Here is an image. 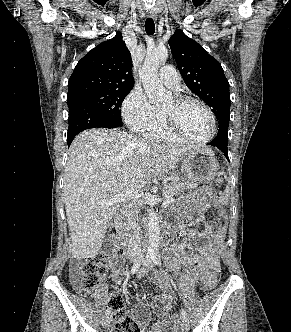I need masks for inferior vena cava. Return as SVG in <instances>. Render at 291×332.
I'll return each instance as SVG.
<instances>
[{
	"mask_svg": "<svg viewBox=\"0 0 291 332\" xmlns=\"http://www.w3.org/2000/svg\"><path fill=\"white\" fill-rule=\"evenodd\" d=\"M128 224L130 229L128 236V253H141L140 227L134 211L130 213Z\"/></svg>",
	"mask_w": 291,
	"mask_h": 332,
	"instance_id": "obj_1",
	"label": "inferior vena cava"
}]
</instances>
